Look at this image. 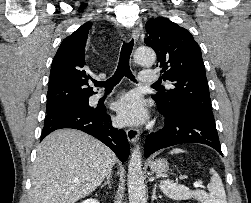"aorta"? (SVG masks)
I'll use <instances>...</instances> for the list:
<instances>
[{
    "mask_svg": "<svg viewBox=\"0 0 251 203\" xmlns=\"http://www.w3.org/2000/svg\"><path fill=\"white\" fill-rule=\"evenodd\" d=\"M134 59L139 65L152 66L156 60V54L150 48H139L134 54ZM127 180L129 203H145L146 193L139 145H136L131 153Z\"/></svg>",
    "mask_w": 251,
    "mask_h": 203,
    "instance_id": "762f6f07",
    "label": "aorta"
}]
</instances>
